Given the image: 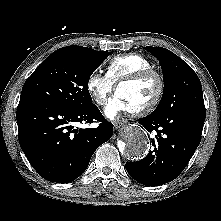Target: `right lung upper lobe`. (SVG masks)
<instances>
[{"label":"right lung upper lobe","mask_w":221,"mask_h":221,"mask_svg":"<svg viewBox=\"0 0 221 221\" xmlns=\"http://www.w3.org/2000/svg\"><path fill=\"white\" fill-rule=\"evenodd\" d=\"M65 48L78 50V51H81V52H84V53H88V54H95V53L98 52V51H96L94 49H91V48H88V47H81V46H67Z\"/></svg>","instance_id":"1"}]
</instances>
